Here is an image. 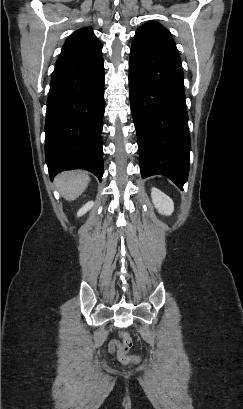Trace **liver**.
<instances>
[{
  "mask_svg": "<svg viewBox=\"0 0 243 409\" xmlns=\"http://www.w3.org/2000/svg\"><path fill=\"white\" fill-rule=\"evenodd\" d=\"M90 182L88 173L82 170L63 172L55 178V184L62 196L73 201L87 188Z\"/></svg>",
  "mask_w": 243,
  "mask_h": 409,
  "instance_id": "1",
  "label": "liver"
}]
</instances>
